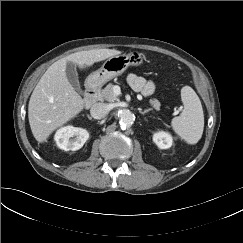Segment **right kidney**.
Returning a JSON list of instances; mask_svg holds the SVG:
<instances>
[{"label":"right kidney","mask_w":243,"mask_h":243,"mask_svg":"<svg viewBox=\"0 0 243 243\" xmlns=\"http://www.w3.org/2000/svg\"><path fill=\"white\" fill-rule=\"evenodd\" d=\"M88 138L87 130L71 125L60 128L54 136L57 146L65 151L79 150Z\"/></svg>","instance_id":"obj_1"}]
</instances>
